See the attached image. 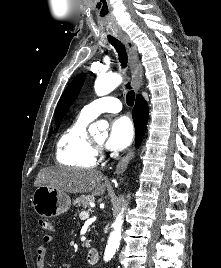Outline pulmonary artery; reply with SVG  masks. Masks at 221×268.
Returning <instances> with one entry per match:
<instances>
[{"label": "pulmonary artery", "mask_w": 221, "mask_h": 268, "mask_svg": "<svg viewBox=\"0 0 221 268\" xmlns=\"http://www.w3.org/2000/svg\"><path fill=\"white\" fill-rule=\"evenodd\" d=\"M122 109V105L119 99L113 96H105L99 99L94 100L90 104L86 105L81 113L93 120L101 113H117Z\"/></svg>", "instance_id": "pulmonary-artery-1"}]
</instances>
